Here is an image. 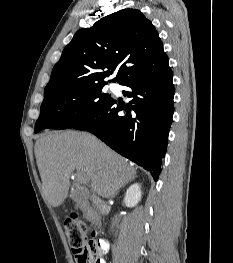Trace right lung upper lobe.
<instances>
[{
    "mask_svg": "<svg viewBox=\"0 0 233 263\" xmlns=\"http://www.w3.org/2000/svg\"><path fill=\"white\" fill-rule=\"evenodd\" d=\"M169 66L153 24L137 9H123L80 29L65 47L53 67L44 90V98L89 85L106 84L111 71H119L112 80L149 76Z\"/></svg>",
    "mask_w": 233,
    "mask_h": 263,
    "instance_id": "cb5924a9",
    "label": "right lung upper lobe"
}]
</instances>
